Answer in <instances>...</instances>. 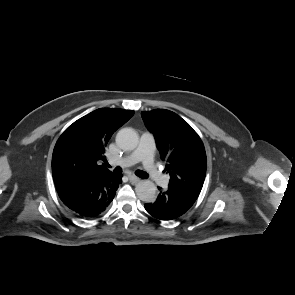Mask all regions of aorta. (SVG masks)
Here are the masks:
<instances>
[{"instance_id": "762f6f07", "label": "aorta", "mask_w": 295, "mask_h": 295, "mask_svg": "<svg viewBox=\"0 0 295 295\" xmlns=\"http://www.w3.org/2000/svg\"><path fill=\"white\" fill-rule=\"evenodd\" d=\"M138 142V134L132 128H123L116 135V144L123 150H134ZM156 191L155 184L150 180H142L135 187L138 198L146 203H152L156 200Z\"/></svg>"}]
</instances>
